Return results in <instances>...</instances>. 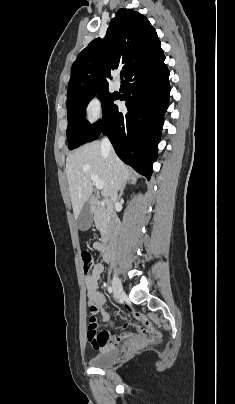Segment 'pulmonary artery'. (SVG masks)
<instances>
[{"label": "pulmonary artery", "instance_id": "e3ab8cb5", "mask_svg": "<svg viewBox=\"0 0 235 404\" xmlns=\"http://www.w3.org/2000/svg\"><path fill=\"white\" fill-rule=\"evenodd\" d=\"M115 76H116V78H115L113 86H114L115 90H119L121 87V84H120V81L117 79V74Z\"/></svg>", "mask_w": 235, "mask_h": 404}]
</instances>
